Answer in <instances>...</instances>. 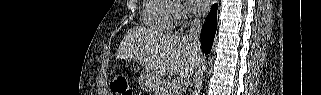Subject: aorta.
I'll list each match as a JSON object with an SVG mask.
<instances>
[{
  "instance_id": "obj_1",
  "label": "aorta",
  "mask_w": 321,
  "mask_h": 95,
  "mask_svg": "<svg viewBox=\"0 0 321 95\" xmlns=\"http://www.w3.org/2000/svg\"><path fill=\"white\" fill-rule=\"evenodd\" d=\"M200 83L202 84V78H201V80H200ZM201 86H202V85H200V86H198V87L196 88V90H195V95H199L200 90H201Z\"/></svg>"
}]
</instances>
